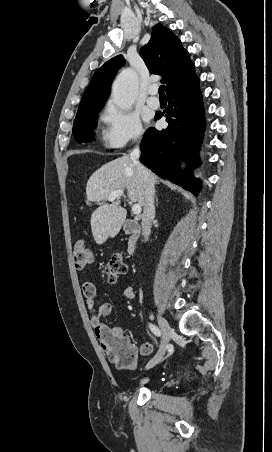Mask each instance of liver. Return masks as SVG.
<instances>
[{
  "instance_id": "obj_1",
  "label": "liver",
  "mask_w": 272,
  "mask_h": 452,
  "mask_svg": "<svg viewBox=\"0 0 272 452\" xmlns=\"http://www.w3.org/2000/svg\"><path fill=\"white\" fill-rule=\"evenodd\" d=\"M148 172L155 184L156 177ZM125 189L131 202L143 206L142 182L129 156L102 165L90 176L86 186L87 203L99 205L91 215L92 235L97 244L115 236L125 222L127 212L120 206L119 198L111 204L105 203L112 192Z\"/></svg>"
}]
</instances>
